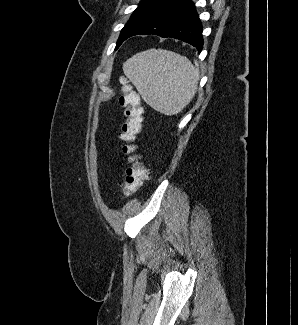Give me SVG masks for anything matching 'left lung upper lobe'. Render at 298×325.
Listing matches in <instances>:
<instances>
[{"label":"left lung upper lobe","instance_id":"left-lung-upper-lobe-1","mask_svg":"<svg viewBox=\"0 0 298 325\" xmlns=\"http://www.w3.org/2000/svg\"><path fill=\"white\" fill-rule=\"evenodd\" d=\"M161 0H142L137 9L132 14L131 18L124 26L119 36L118 47L126 40L131 29L147 14L149 13Z\"/></svg>","mask_w":298,"mask_h":325}]
</instances>
